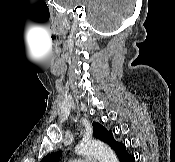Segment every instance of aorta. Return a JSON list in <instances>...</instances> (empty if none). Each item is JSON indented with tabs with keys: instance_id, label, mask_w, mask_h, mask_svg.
<instances>
[{
	"instance_id": "aorta-1",
	"label": "aorta",
	"mask_w": 175,
	"mask_h": 162,
	"mask_svg": "<svg viewBox=\"0 0 175 162\" xmlns=\"http://www.w3.org/2000/svg\"><path fill=\"white\" fill-rule=\"evenodd\" d=\"M75 151L80 155L93 156L99 162H118L114 151L99 140H84L76 146Z\"/></svg>"
}]
</instances>
